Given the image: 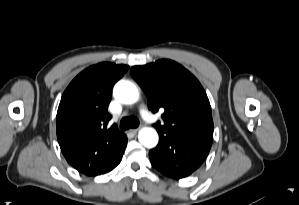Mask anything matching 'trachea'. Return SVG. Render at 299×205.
I'll list each match as a JSON object with an SVG mask.
<instances>
[{"mask_svg": "<svg viewBox=\"0 0 299 205\" xmlns=\"http://www.w3.org/2000/svg\"><path fill=\"white\" fill-rule=\"evenodd\" d=\"M139 126V120L134 117H123L120 121V129L122 131L127 130L129 128H137Z\"/></svg>", "mask_w": 299, "mask_h": 205, "instance_id": "obj_1", "label": "trachea"}]
</instances>
